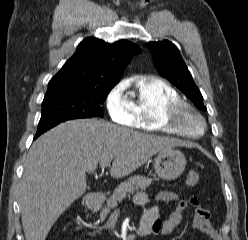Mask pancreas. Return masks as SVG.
<instances>
[{"instance_id": "obj_1", "label": "pancreas", "mask_w": 248, "mask_h": 240, "mask_svg": "<svg viewBox=\"0 0 248 240\" xmlns=\"http://www.w3.org/2000/svg\"><path fill=\"white\" fill-rule=\"evenodd\" d=\"M152 182L151 178L141 175L133 176L121 183L114 191L113 195L107 200L106 206L101 211V218L105 219L110 210L117 207L118 202L133 194L136 190H145Z\"/></svg>"}]
</instances>
